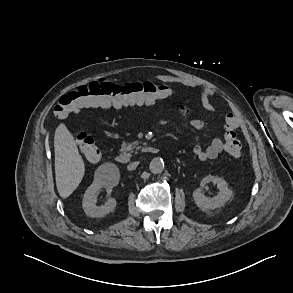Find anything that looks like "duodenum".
I'll use <instances>...</instances> for the list:
<instances>
[{"label": "duodenum", "mask_w": 293, "mask_h": 293, "mask_svg": "<svg viewBox=\"0 0 293 293\" xmlns=\"http://www.w3.org/2000/svg\"><path fill=\"white\" fill-rule=\"evenodd\" d=\"M143 151L145 153H148V154H157L159 152V149L157 147H154V146H145L143 148ZM115 159L119 164L125 165V164H128L130 162L131 157L127 153H119V154L116 155Z\"/></svg>", "instance_id": "1"}]
</instances>
